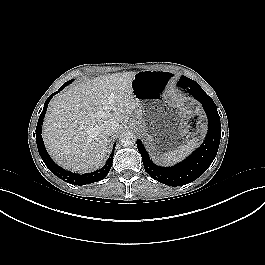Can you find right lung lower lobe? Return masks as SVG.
Listing matches in <instances>:
<instances>
[{
	"mask_svg": "<svg viewBox=\"0 0 265 265\" xmlns=\"http://www.w3.org/2000/svg\"><path fill=\"white\" fill-rule=\"evenodd\" d=\"M65 86H67L66 83L63 84V86H61V88L57 92L49 96L48 99L45 101L43 111L40 114L38 124L36 127V142H37V147H38V151H39L41 158L43 159L45 165L50 169V171L54 175H56L63 181H66L70 184L82 186V185L100 181L107 176L108 172L111 169L112 163H113L114 152H112L106 164L101 169L96 170L91 173H85V174L71 173L61 168L57 164H55L54 161L50 158L44 146V142H43L42 135H41V127H42L43 119H44L49 101L51 100L53 95L61 91Z\"/></svg>",
	"mask_w": 265,
	"mask_h": 265,
	"instance_id": "1",
	"label": "right lung lower lobe"
}]
</instances>
